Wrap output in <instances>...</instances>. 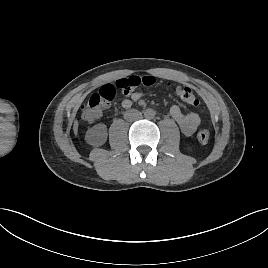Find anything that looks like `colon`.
<instances>
[{"instance_id": "5ec220e1", "label": "colon", "mask_w": 268, "mask_h": 268, "mask_svg": "<svg viewBox=\"0 0 268 268\" xmlns=\"http://www.w3.org/2000/svg\"><path fill=\"white\" fill-rule=\"evenodd\" d=\"M157 82L154 76H129L119 79L115 84H105L98 92L91 95L88 101L82 106L81 117L87 122L97 121L110 106L119 90L123 95H128L140 87H151ZM176 95L191 106H198L199 100L193 91L188 87L177 86ZM198 141L205 144L210 139V132L207 129L201 130L197 135Z\"/></svg>"}]
</instances>
